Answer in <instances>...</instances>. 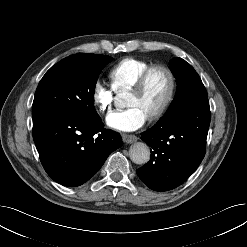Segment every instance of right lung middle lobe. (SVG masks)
<instances>
[{
	"mask_svg": "<svg viewBox=\"0 0 247 247\" xmlns=\"http://www.w3.org/2000/svg\"><path fill=\"white\" fill-rule=\"evenodd\" d=\"M112 59L107 55L78 53L52 66L37 87L32 105L33 119L63 111L96 117L95 85L101 70Z\"/></svg>",
	"mask_w": 247,
	"mask_h": 247,
	"instance_id": "obj_1",
	"label": "right lung middle lobe"
}]
</instances>
